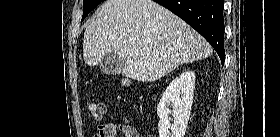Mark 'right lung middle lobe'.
Segmentation results:
<instances>
[{
	"mask_svg": "<svg viewBox=\"0 0 280 137\" xmlns=\"http://www.w3.org/2000/svg\"><path fill=\"white\" fill-rule=\"evenodd\" d=\"M104 0H84L83 1V16L81 22L93 10L97 5H99Z\"/></svg>",
	"mask_w": 280,
	"mask_h": 137,
	"instance_id": "1",
	"label": "right lung middle lobe"
}]
</instances>
